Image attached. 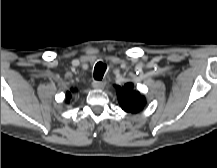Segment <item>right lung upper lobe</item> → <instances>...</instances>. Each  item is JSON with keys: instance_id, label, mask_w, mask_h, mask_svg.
Here are the masks:
<instances>
[{"instance_id": "cb5924a9", "label": "right lung upper lobe", "mask_w": 217, "mask_h": 168, "mask_svg": "<svg viewBox=\"0 0 217 168\" xmlns=\"http://www.w3.org/2000/svg\"><path fill=\"white\" fill-rule=\"evenodd\" d=\"M74 90L71 89V92H73ZM71 92H67L66 98L69 100L71 98Z\"/></svg>"}]
</instances>
